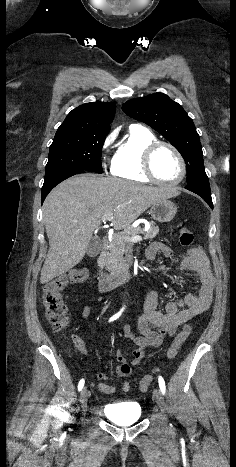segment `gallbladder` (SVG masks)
<instances>
[{"label":"gallbladder","mask_w":236,"mask_h":467,"mask_svg":"<svg viewBox=\"0 0 236 467\" xmlns=\"http://www.w3.org/2000/svg\"><path fill=\"white\" fill-rule=\"evenodd\" d=\"M102 249V241L101 239L94 237L90 240L87 249H86V254L89 257H95L97 256Z\"/></svg>","instance_id":"1"}]
</instances>
